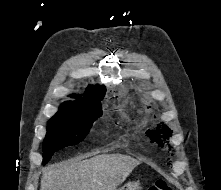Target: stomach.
I'll list each match as a JSON object with an SVG mask.
<instances>
[{
	"label": "stomach",
	"mask_w": 221,
	"mask_h": 190,
	"mask_svg": "<svg viewBox=\"0 0 221 190\" xmlns=\"http://www.w3.org/2000/svg\"><path fill=\"white\" fill-rule=\"evenodd\" d=\"M116 190H141L139 182H128Z\"/></svg>",
	"instance_id": "stomach-1"
}]
</instances>
